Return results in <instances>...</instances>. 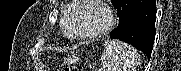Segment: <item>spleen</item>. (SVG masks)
<instances>
[{
    "label": "spleen",
    "mask_w": 181,
    "mask_h": 71,
    "mask_svg": "<svg viewBox=\"0 0 181 71\" xmlns=\"http://www.w3.org/2000/svg\"><path fill=\"white\" fill-rule=\"evenodd\" d=\"M101 71H137L140 55L130 45L117 40H106L101 55Z\"/></svg>",
    "instance_id": "spleen-1"
}]
</instances>
